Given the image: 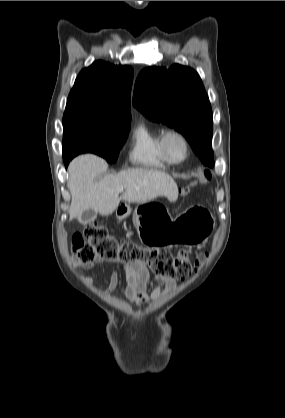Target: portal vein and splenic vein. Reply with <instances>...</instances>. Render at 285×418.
I'll return each mask as SVG.
<instances>
[{
	"mask_svg": "<svg viewBox=\"0 0 285 418\" xmlns=\"http://www.w3.org/2000/svg\"><path fill=\"white\" fill-rule=\"evenodd\" d=\"M124 191V189L123 188H118L117 189V193H121V192H123Z\"/></svg>",
	"mask_w": 285,
	"mask_h": 418,
	"instance_id": "1",
	"label": "portal vein and splenic vein"
}]
</instances>
